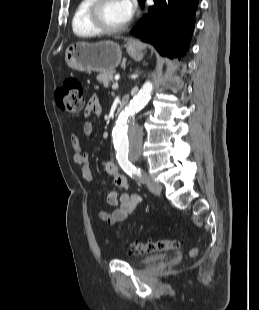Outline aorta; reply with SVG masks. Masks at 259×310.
<instances>
[{
	"label": "aorta",
	"instance_id": "1",
	"mask_svg": "<svg viewBox=\"0 0 259 310\" xmlns=\"http://www.w3.org/2000/svg\"><path fill=\"white\" fill-rule=\"evenodd\" d=\"M153 85L146 81L139 93L120 113L113 133L114 149L118 156L129 160L138 159L142 152L143 135L135 123V115L147 104Z\"/></svg>",
	"mask_w": 259,
	"mask_h": 310
}]
</instances>
